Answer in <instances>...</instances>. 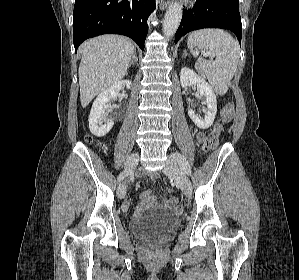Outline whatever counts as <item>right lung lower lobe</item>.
Listing matches in <instances>:
<instances>
[{
	"mask_svg": "<svg viewBox=\"0 0 299 280\" xmlns=\"http://www.w3.org/2000/svg\"><path fill=\"white\" fill-rule=\"evenodd\" d=\"M154 9L155 0H75V52L86 39L107 33L128 36L143 50L147 19Z\"/></svg>",
	"mask_w": 299,
	"mask_h": 280,
	"instance_id": "1",
	"label": "right lung lower lobe"
}]
</instances>
